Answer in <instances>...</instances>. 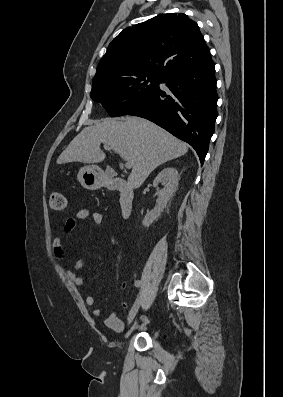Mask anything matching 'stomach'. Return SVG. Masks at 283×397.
<instances>
[{
	"mask_svg": "<svg viewBox=\"0 0 283 397\" xmlns=\"http://www.w3.org/2000/svg\"><path fill=\"white\" fill-rule=\"evenodd\" d=\"M107 173L96 165H86L80 168L77 178L81 185L88 190H96L104 186Z\"/></svg>",
	"mask_w": 283,
	"mask_h": 397,
	"instance_id": "0dacf381",
	"label": "stomach"
}]
</instances>
